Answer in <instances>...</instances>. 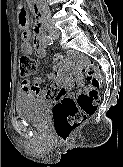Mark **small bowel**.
<instances>
[{
  "label": "small bowel",
  "mask_w": 123,
  "mask_h": 167,
  "mask_svg": "<svg viewBox=\"0 0 123 167\" xmlns=\"http://www.w3.org/2000/svg\"><path fill=\"white\" fill-rule=\"evenodd\" d=\"M27 10H17L20 15L18 24L22 26V52L26 55H31L35 50L37 57L43 58L46 55V44L44 43L43 30L39 26H35L33 33L28 28V21L24 14ZM59 59V58H57ZM49 82V86L42 87L41 84ZM82 83L75 79H66L58 65L54 66V72L48 75L45 79L36 78L32 81L22 80L20 82V91L29 97L38 98H62L70 89H80ZM55 89H59V94L56 96Z\"/></svg>",
  "instance_id": "1"
}]
</instances>
